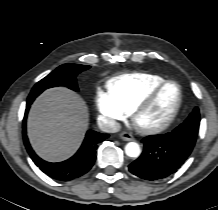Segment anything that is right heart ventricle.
Wrapping results in <instances>:
<instances>
[{
    "label": "right heart ventricle",
    "instance_id": "obj_1",
    "mask_svg": "<svg viewBox=\"0 0 218 210\" xmlns=\"http://www.w3.org/2000/svg\"><path fill=\"white\" fill-rule=\"evenodd\" d=\"M165 81L152 73L126 74L112 79L108 84L109 93L128 113L157 85Z\"/></svg>",
    "mask_w": 218,
    "mask_h": 210
}]
</instances>
